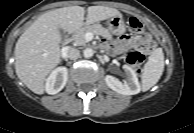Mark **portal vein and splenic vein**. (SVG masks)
Wrapping results in <instances>:
<instances>
[{
	"label": "portal vein and splenic vein",
	"instance_id": "18ae733b",
	"mask_svg": "<svg viewBox=\"0 0 194 133\" xmlns=\"http://www.w3.org/2000/svg\"><path fill=\"white\" fill-rule=\"evenodd\" d=\"M85 38H86L87 41H90L93 38V34L92 33H87L85 35Z\"/></svg>",
	"mask_w": 194,
	"mask_h": 133
}]
</instances>
